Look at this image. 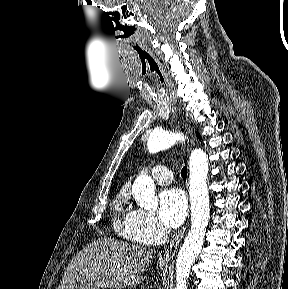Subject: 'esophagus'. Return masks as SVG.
<instances>
[{
    "label": "esophagus",
    "mask_w": 288,
    "mask_h": 289,
    "mask_svg": "<svg viewBox=\"0 0 288 289\" xmlns=\"http://www.w3.org/2000/svg\"><path fill=\"white\" fill-rule=\"evenodd\" d=\"M185 230H186V227H184L182 230H180L179 233L174 237L169 248L165 251V253L163 255V260L167 261V260L173 258V256L177 252V249L179 247V244H180L182 238L184 237Z\"/></svg>",
    "instance_id": "obj_1"
}]
</instances>
